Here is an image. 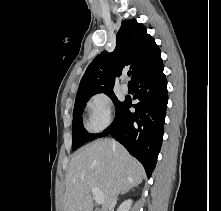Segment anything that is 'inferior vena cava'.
Listing matches in <instances>:
<instances>
[{"label": "inferior vena cava", "mask_w": 221, "mask_h": 211, "mask_svg": "<svg viewBox=\"0 0 221 211\" xmlns=\"http://www.w3.org/2000/svg\"><path fill=\"white\" fill-rule=\"evenodd\" d=\"M116 198H117V195H113V197H112V203L113 204L116 202Z\"/></svg>", "instance_id": "602c4592"}]
</instances>
